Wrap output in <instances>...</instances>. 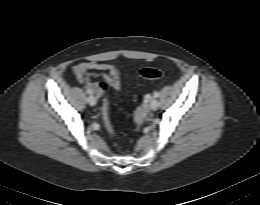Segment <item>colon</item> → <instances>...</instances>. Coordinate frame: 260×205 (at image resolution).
<instances>
[{
    "label": "colon",
    "instance_id": "1",
    "mask_svg": "<svg viewBox=\"0 0 260 205\" xmlns=\"http://www.w3.org/2000/svg\"><path fill=\"white\" fill-rule=\"evenodd\" d=\"M140 75L144 79L159 80V79L163 78L164 73L160 68L146 67L140 71ZM98 87L102 92L106 93L109 90V88L111 87V83L107 78H103L98 82ZM101 115H102L103 124H104L106 130L109 132V134L114 135L115 133H114L113 127H112L109 117H108L107 99H104V101L102 103Z\"/></svg>",
    "mask_w": 260,
    "mask_h": 205
}]
</instances>
